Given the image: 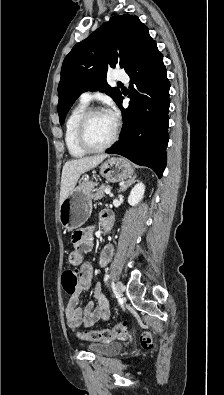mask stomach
Segmentation results:
<instances>
[{"mask_svg":"<svg viewBox=\"0 0 224 395\" xmlns=\"http://www.w3.org/2000/svg\"><path fill=\"white\" fill-rule=\"evenodd\" d=\"M134 170L124 158L112 157L100 166V174L109 182H119L131 177ZM95 183L87 177L60 204L59 222L63 228L74 230L82 226L92 212V192Z\"/></svg>","mask_w":224,"mask_h":395,"instance_id":"1","label":"stomach"}]
</instances>
